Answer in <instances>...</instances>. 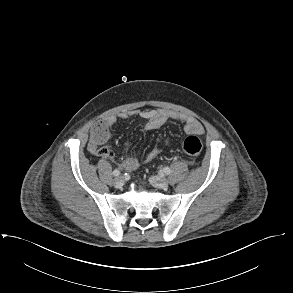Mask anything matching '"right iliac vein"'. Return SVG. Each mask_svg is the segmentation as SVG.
Returning <instances> with one entry per match:
<instances>
[{
    "mask_svg": "<svg viewBox=\"0 0 293 293\" xmlns=\"http://www.w3.org/2000/svg\"><path fill=\"white\" fill-rule=\"evenodd\" d=\"M114 185L117 187V188H121L123 185H124V179L123 177H117L115 178L114 180Z\"/></svg>",
    "mask_w": 293,
    "mask_h": 293,
    "instance_id": "63e3f726",
    "label": "right iliac vein"
}]
</instances>
